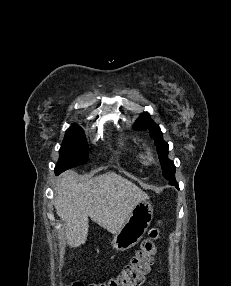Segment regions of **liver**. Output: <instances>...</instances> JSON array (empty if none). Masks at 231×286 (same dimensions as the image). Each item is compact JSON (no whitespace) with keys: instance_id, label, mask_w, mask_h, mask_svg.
<instances>
[{"instance_id":"1","label":"liver","mask_w":231,"mask_h":286,"mask_svg":"<svg viewBox=\"0 0 231 286\" xmlns=\"http://www.w3.org/2000/svg\"><path fill=\"white\" fill-rule=\"evenodd\" d=\"M54 191L56 214L65 222L67 243L72 248L86 242L88 217L115 234L134 207L149 198L138 186L116 173L78 183L73 172H64Z\"/></svg>"}]
</instances>
